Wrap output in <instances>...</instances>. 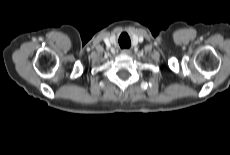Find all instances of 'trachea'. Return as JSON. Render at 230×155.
Segmentation results:
<instances>
[{"label": "trachea", "instance_id": "obj_1", "mask_svg": "<svg viewBox=\"0 0 230 155\" xmlns=\"http://www.w3.org/2000/svg\"><path fill=\"white\" fill-rule=\"evenodd\" d=\"M119 45L122 49H128L131 46V41L126 33H122L119 37Z\"/></svg>", "mask_w": 230, "mask_h": 155}]
</instances>
